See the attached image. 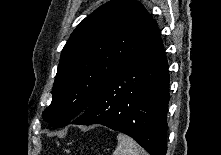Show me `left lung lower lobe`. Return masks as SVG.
I'll return each instance as SVG.
<instances>
[{
    "instance_id": "1",
    "label": "left lung lower lobe",
    "mask_w": 221,
    "mask_h": 155,
    "mask_svg": "<svg viewBox=\"0 0 221 155\" xmlns=\"http://www.w3.org/2000/svg\"><path fill=\"white\" fill-rule=\"evenodd\" d=\"M168 101V63L156 26L71 124H101L132 137L151 155H166Z\"/></svg>"
}]
</instances>
